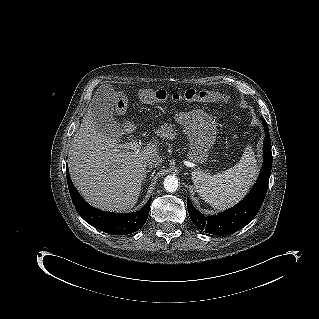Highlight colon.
<instances>
[{"instance_id":"colon-1","label":"colon","mask_w":319,"mask_h":319,"mask_svg":"<svg viewBox=\"0 0 319 319\" xmlns=\"http://www.w3.org/2000/svg\"><path fill=\"white\" fill-rule=\"evenodd\" d=\"M139 98L145 103L164 102L169 98L168 93L162 89H153L144 87L138 91ZM173 102L181 101H201V102H215L221 99L220 94L208 90L188 89L182 93H175L170 96ZM127 97L119 93L116 97V108L119 112H124L127 108Z\"/></svg>"}]
</instances>
